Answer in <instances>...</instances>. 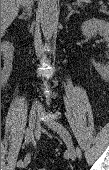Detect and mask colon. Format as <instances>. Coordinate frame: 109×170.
Instances as JSON below:
<instances>
[{"label":"colon","mask_w":109,"mask_h":170,"mask_svg":"<svg viewBox=\"0 0 109 170\" xmlns=\"http://www.w3.org/2000/svg\"><path fill=\"white\" fill-rule=\"evenodd\" d=\"M36 170H46V169H44V168H38V169H36Z\"/></svg>","instance_id":"obj_1"}]
</instances>
